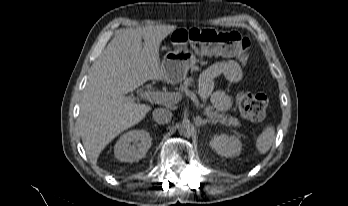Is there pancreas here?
I'll return each mask as SVG.
<instances>
[{"mask_svg": "<svg viewBox=\"0 0 348 206\" xmlns=\"http://www.w3.org/2000/svg\"><path fill=\"white\" fill-rule=\"evenodd\" d=\"M194 79L192 77L186 78L183 84L177 89L179 92L183 93L188 90L189 87L193 86ZM205 106V115L210 118L213 122H220L221 124L227 126L238 127L240 126V122L237 118L232 117L230 115H224L214 110L213 106L206 105V101L204 102Z\"/></svg>", "mask_w": 348, "mask_h": 206, "instance_id": "cf45deb5", "label": "pancreas"}]
</instances>
